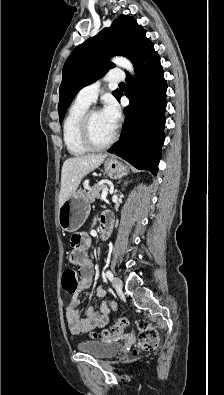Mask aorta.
Here are the masks:
<instances>
[{
    "label": "aorta",
    "mask_w": 224,
    "mask_h": 395,
    "mask_svg": "<svg viewBox=\"0 0 224 395\" xmlns=\"http://www.w3.org/2000/svg\"><path fill=\"white\" fill-rule=\"evenodd\" d=\"M112 62L115 63L117 66L122 67L123 69H126L131 73V75L134 76V68L132 63L125 57L121 56H116L112 58Z\"/></svg>",
    "instance_id": "1"
}]
</instances>
